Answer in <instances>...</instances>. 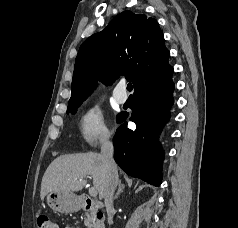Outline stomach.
<instances>
[{
    "instance_id": "obj_1",
    "label": "stomach",
    "mask_w": 238,
    "mask_h": 228,
    "mask_svg": "<svg viewBox=\"0 0 238 228\" xmlns=\"http://www.w3.org/2000/svg\"><path fill=\"white\" fill-rule=\"evenodd\" d=\"M47 203L54 211L60 213L75 212L80 207V201L77 195L66 191L50 192L47 195Z\"/></svg>"
}]
</instances>
